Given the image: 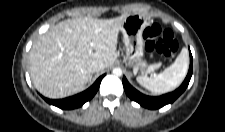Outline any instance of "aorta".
I'll use <instances>...</instances> for the list:
<instances>
[{
    "mask_svg": "<svg viewBox=\"0 0 225 132\" xmlns=\"http://www.w3.org/2000/svg\"><path fill=\"white\" fill-rule=\"evenodd\" d=\"M113 74L116 76H121L122 75V70L120 68H115L113 70Z\"/></svg>",
    "mask_w": 225,
    "mask_h": 132,
    "instance_id": "obj_1",
    "label": "aorta"
}]
</instances>
